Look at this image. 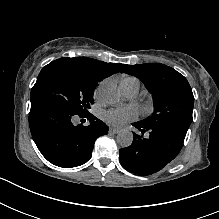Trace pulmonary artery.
Here are the masks:
<instances>
[{"label":"pulmonary artery","instance_id":"e3ab8cb5","mask_svg":"<svg viewBox=\"0 0 219 219\" xmlns=\"http://www.w3.org/2000/svg\"><path fill=\"white\" fill-rule=\"evenodd\" d=\"M125 96L128 98H134L137 96L139 89L138 88H130V89H122Z\"/></svg>","mask_w":219,"mask_h":219}]
</instances>
